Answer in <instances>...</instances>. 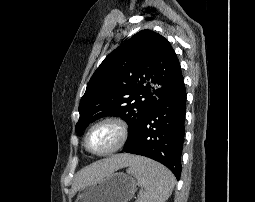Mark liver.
I'll list each match as a JSON object with an SVG mask.
<instances>
[{
  "instance_id": "1",
  "label": "liver",
  "mask_w": 255,
  "mask_h": 202,
  "mask_svg": "<svg viewBox=\"0 0 255 202\" xmlns=\"http://www.w3.org/2000/svg\"><path fill=\"white\" fill-rule=\"evenodd\" d=\"M136 159L137 157L133 155L118 154L83 168L75 175L72 184L73 193L96 179L104 178L120 168L131 165Z\"/></svg>"
}]
</instances>
